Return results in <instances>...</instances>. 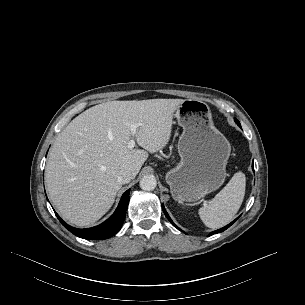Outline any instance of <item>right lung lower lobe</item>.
<instances>
[{"mask_svg": "<svg viewBox=\"0 0 305 305\" xmlns=\"http://www.w3.org/2000/svg\"><path fill=\"white\" fill-rule=\"evenodd\" d=\"M129 193L130 190H127L122 195L119 205L113 215L104 223L96 227L87 229H77L65 223L56 212L55 214L65 228H67L69 231H71L73 234L80 238H84L87 240L107 239L115 235L121 229L129 203Z\"/></svg>", "mask_w": 305, "mask_h": 305, "instance_id": "obj_1", "label": "right lung lower lobe"}]
</instances>
